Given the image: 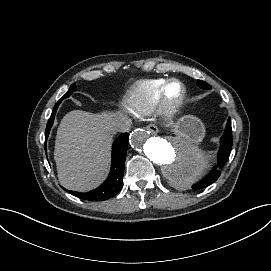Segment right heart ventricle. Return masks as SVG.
<instances>
[{"instance_id": "e07e8e85", "label": "right heart ventricle", "mask_w": 271, "mask_h": 271, "mask_svg": "<svg viewBox=\"0 0 271 271\" xmlns=\"http://www.w3.org/2000/svg\"><path fill=\"white\" fill-rule=\"evenodd\" d=\"M168 78L156 77L137 81L127 96V107L136 116H145L161 101L162 90Z\"/></svg>"}]
</instances>
